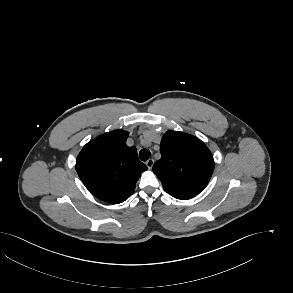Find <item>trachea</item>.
Listing matches in <instances>:
<instances>
[{
    "label": "trachea",
    "instance_id": "obj_1",
    "mask_svg": "<svg viewBox=\"0 0 293 293\" xmlns=\"http://www.w3.org/2000/svg\"><path fill=\"white\" fill-rule=\"evenodd\" d=\"M150 151L148 149H142L140 152H139V157L142 161H147L148 158L150 157Z\"/></svg>",
    "mask_w": 293,
    "mask_h": 293
}]
</instances>
